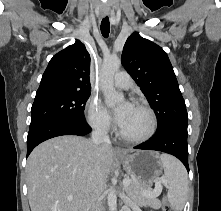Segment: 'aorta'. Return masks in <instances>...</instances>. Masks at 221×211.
I'll use <instances>...</instances> for the list:
<instances>
[{
    "mask_svg": "<svg viewBox=\"0 0 221 211\" xmlns=\"http://www.w3.org/2000/svg\"><path fill=\"white\" fill-rule=\"evenodd\" d=\"M120 66L121 59L118 57L104 59L99 75V82L104 94L105 102L111 107L124 101V95L115 90L113 83L114 74ZM108 207L109 211H117V196L113 187L108 191Z\"/></svg>",
    "mask_w": 221,
    "mask_h": 211,
    "instance_id": "obj_1",
    "label": "aorta"
}]
</instances>
